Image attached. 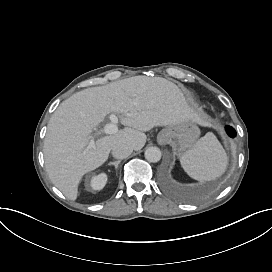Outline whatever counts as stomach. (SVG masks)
Instances as JSON below:
<instances>
[{
	"instance_id": "obj_1",
	"label": "stomach",
	"mask_w": 272,
	"mask_h": 272,
	"mask_svg": "<svg viewBox=\"0 0 272 272\" xmlns=\"http://www.w3.org/2000/svg\"><path fill=\"white\" fill-rule=\"evenodd\" d=\"M199 135L198 127L191 122L179 123L175 126H168L158 136L159 144L178 143L180 149L190 146Z\"/></svg>"
}]
</instances>
